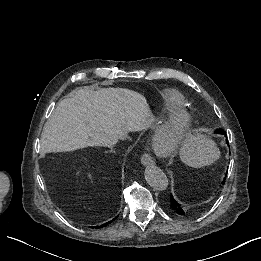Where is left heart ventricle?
<instances>
[{"label":"left heart ventricle","mask_w":261,"mask_h":261,"mask_svg":"<svg viewBox=\"0 0 261 261\" xmlns=\"http://www.w3.org/2000/svg\"><path fill=\"white\" fill-rule=\"evenodd\" d=\"M179 121L173 120L159 124L154 130L150 145L153 148L168 149L178 142Z\"/></svg>","instance_id":"left-heart-ventricle-1"}]
</instances>
